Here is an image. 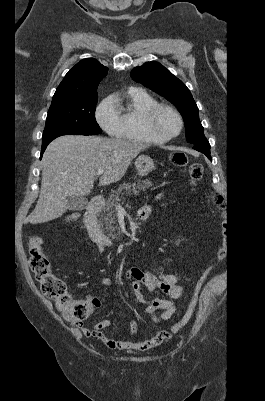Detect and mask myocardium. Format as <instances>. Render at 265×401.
Returning <instances> with one entry per match:
<instances>
[{
	"instance_id": "1",
	"label": "myocardium",
	"mask_w": 265,
	"mask_h": 401,
	"mask_svg": "<svg viewBox=\"0 0 265 401\" xmlns=\"http://www.w3.org/2000/svg\"><path fill=\"white\" fill-rule=\"evenodd\" d=\"M159 111L169 112L170 114L174 115L178 119L180 128L176 135L171 136L166 139H163V140H160L154 136L153 130H152V120H153L154 116L156 115V113H158ZM142 125L144 127L145 132L148 134V136L150 137V140L152 142L166 143V142H169V141H172V140L178 138L182 134L183 129H184V120H183L182 115L178 111H176L174 108H172L168 105H165V104L157 103L145 111L143 118H142Z\"/></svg>"
}]
</instances>
